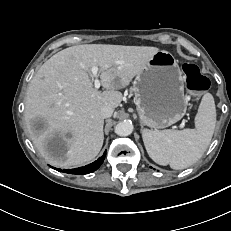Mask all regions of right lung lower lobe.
<instances>
[{
	"mask_svg": "<svg viewBox=\"0 0 231 231\" xmlns=\"http://www.w3.org/2000/svg\"><path fill=\"white\" fill-rule=\"evenodd\" d=\"M105 156H106V152H104V154L98 160L84 167H79L75 169H64V170L57 169V170L60 172L62 171V172L71 173V174H79V175L88 174L99 168V166L103 163Z\"/></svg>",
	"mask_w": 231,
	"mask_h": 231,
	"instance_id": "1",
	"label": "right lung lower lobe"
}]
</instances>
